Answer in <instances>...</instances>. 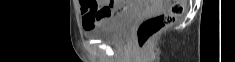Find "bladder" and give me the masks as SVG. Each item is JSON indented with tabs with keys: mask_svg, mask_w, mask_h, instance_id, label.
<instances>
[{
	"mask_svg": "<svg viewBox=\"0 0 235 62\" xmlns=\"http://www.w3.org/2000/svg\"><path fill=\"white\" fill-rule=\"evenodd\" d=\"M138 16L136 8H128L119 11L114 18L100 27L86 31L88 38L108 44L122 43L129 32L130 27Z\"/></svg>",
	"mask_w": 235,
	"mask_h": 62,
	"instance_id": "1",
	"label": "bladder"
}]
</instances>
